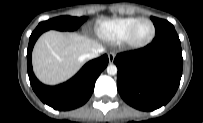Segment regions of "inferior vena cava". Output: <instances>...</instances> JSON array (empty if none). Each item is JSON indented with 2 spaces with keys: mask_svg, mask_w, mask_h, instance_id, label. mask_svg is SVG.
Instances as JSON below:
<instances>
[{
  "mask_svg": "<svg viewBox=\"0 0 203 123\" xmlns=\"http://www.w3.org/2000/svg\"><path fill=\"white\" fill-rule=\"evenodd\" d=\"M104 52V48L99 46L97 49H93L91 52L86 54L87 59H94L97 58L101 53Z\"/></svg>",
  "mask_w": 203,
  "mask_h": 123,
  "instance_id": "602c4592",
  "label": "inferior vena cava"
}]
</instances>
